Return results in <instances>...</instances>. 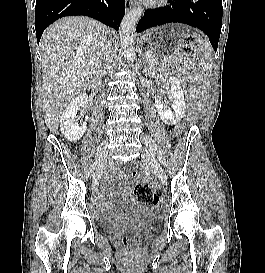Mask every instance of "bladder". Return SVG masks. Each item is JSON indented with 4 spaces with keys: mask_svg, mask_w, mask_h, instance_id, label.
<instances>
[{
    "mask_svg": "<svg viewBox=\"0 0 265 273\" xmlns=\"http://www.w3.org/2000/svg\"><path fill=\"white\" fill-rule=\"evenodd\" d=\"M132 216L136 218H142V217H145V214L143 212L133 211ZM118 223H119V217L117 215L108 216L106 218H101L99 220V224L102 230L106 233L112 232L114 228L118 225Z\"/></svg>",
    "mask_w": 265,
    "mask_h": 273,
    "instance_id": "bladder-1",
    "label": "bladder"
}]
</instances>
